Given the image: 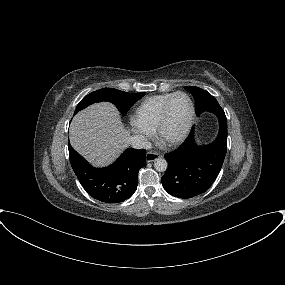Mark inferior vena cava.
Wrapping results in <instances>:
<instances>
[{"label":"inferior vena cava","mask_w":285,"mask_h":285,"mask_svg":"<svg viewBox=\"0 0 285 285\" xmlns=\"http://www.w3.org/2000/svg\"><path fill=\"white\" fill-rule=\"evenodd\" d=\"M130 145L136 149H150L151 143L147 140L145 136L142 135H135L132 136L129 140Z\"/></svg>","instance_id":"inferior-vena-cava-1"}]
</instances>
